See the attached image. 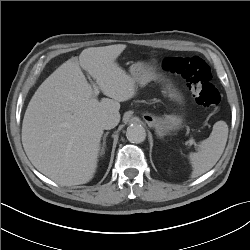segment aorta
Returning a JSON list of instances; mask_svg holds the SVG:
<instances>
[{"label": "aorta", "instance_id": "762f6f07", "mask_svg": "<svg viewBox=\"0 0 250 250\" xmlns=\"http://www.w3.org/2000/svg\"><path fill=\"white\" fill-rule=\"evenodd\" d=\"M126 136L132 143H141L146 139V131L140 124H131L127 128Z\"/></svg>", "mask_w": 250, "mask_h": 250}]
</instances>
